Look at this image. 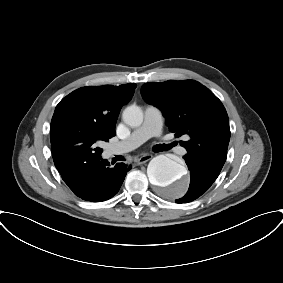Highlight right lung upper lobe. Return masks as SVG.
I'll return each mask as SVG.
<instances>
[{"mask_svg":"<svg viewBox=\"0 0 283 283\" xmlns=\"http://www.w3.org/2000/svg\"><path fill=\"white\" fill-rule=\"evenodd\" d=\"M136 84L82 87L64 97L55 109L50 135L52 155L59 172L73 164L69 152V131L95 130L109 138L123 105L127 104Z\"/></svg>","mask_w":283,"mask_h":283,"instance_id":"obj_1","label":"right lung upper lobe"}]
</instances>
